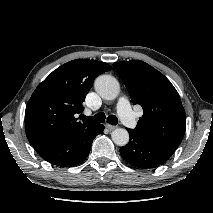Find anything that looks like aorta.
Returning <instances> with one entry per match:
<instances>
[{
	"instance_id": "1",
	"label": "aorta",
	"mask_w": 213,
	"mask_h": 213,
	"mask_svg": "<svg viewBox=\"0 0 213 213\" xmlns=\"http://www.w3.org/2000/svg\"><path fill=\"white\" fill-rule=\"evenodd\" d=\"M94 87L96 92L106 100L115 99L120 91L118 81L110 75H101L96 78ZM113 142L118 146H125L129 142V133L124 128H117L111 134Z\"/></svg>"
}]
</instances>
